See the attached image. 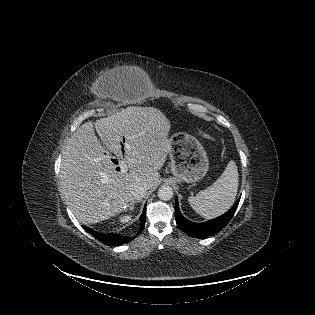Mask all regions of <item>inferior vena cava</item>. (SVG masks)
<instances>
[{
	"instance_id": "inferior-vena-cava-1",
	"label": "inferior vena cava",
	"mask_w": 315,
	"mask_h": 315,
	"mask_svg": "<svg viewBox=\"0 0 315 315\" xmlns=\"http://www.w3.org/2000/svg\"><path fill=\"white\" fill-rule=\"evenodd\" d=\"M147 190H149L148 183L143 182V183H140L139 185H137L135 187L134 193H133L134 199H137V200L142 199L145 196Z\"/></svg>"
}]
</instances>
